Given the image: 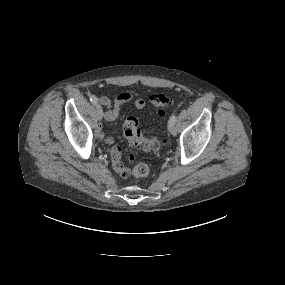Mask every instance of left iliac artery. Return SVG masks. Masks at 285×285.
<instances>
[{"label": "left iliac artery", "instance_id": "1", "mask_svg": "<svg viewBox=\"0 0 285 285\" xmlns=\"http://www.w3.org/2000/svg\"><path fill=\"white\" fill-rule=\"evenodd\" d=\"M176 120H177V116L173 114V115L170 117V120H169V121H172V122L176 123Z\"/></svg>", "mask_w": 285, "mask_h": 285}]
</instances>
